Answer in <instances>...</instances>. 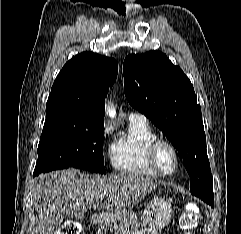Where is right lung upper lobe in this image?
I'll use <instances>...</instances> for the list:
<instances>
[{
  "label": "right lung upper lobe",
  "mask_w": 241,
  "mask_h": 234,
  "mask_svg": "<svg viewBox=\"0 0 241 234\" xmlns=\"http://www.w3.org/2000/svg\"><path fill=\"white\" fill-rule=\"evenodd\" d=\"M117 74L112 58L91 52L72 57L53 83L46 110H71L84 121L104 123L105 97Z\"/></svg>",
  "instance_id": "obj_1"
}]
</instances>
